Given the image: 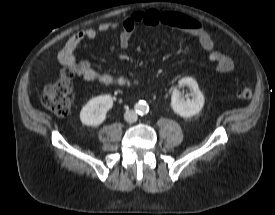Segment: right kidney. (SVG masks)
<instances>
[{"instance_id":"obj_1","label":"right kidney","mask_w":275,"mask_h":215,"mask_svg":"<svg viewBox=\"0 0 275 215\" xmlns=\"http://www.w3.org/2000/svg\"><path fill=\"white\" fill-rule=\"evenodd\" d=\"M113 107L110 95L94 97L82 108L80 120L87 126H98L106 118V113Z\"/></svg>"}]
</instances>
